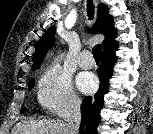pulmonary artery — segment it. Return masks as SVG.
<instances>
[{
	"instance_id": "obj_1",
	"label": "pulmonary artery",
	"mask_w": 153,
	"mask_h": 134,
	"mask_svg": "<svg viewBox=\"0 0 153 134\" xmlns=\"http://www.w3.org/2000/svg\"><path fill=\"white\" fill-rule=\"evenodd\" d=\"M78 63L81 68L84 69L92 68L94 65V60L91 52H89L88 50L82 51L79 55Z\"/></svg>"
}]
</instances>
